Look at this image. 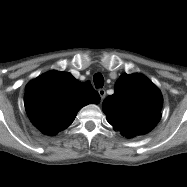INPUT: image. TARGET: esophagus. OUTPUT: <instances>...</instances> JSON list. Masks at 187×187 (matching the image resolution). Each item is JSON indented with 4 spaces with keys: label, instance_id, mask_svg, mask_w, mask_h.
Masks as SVG:
<instances>
[{
    "label": "esophagus",
    "instance_id": "obj_1",
    "mask_svg": "<svg viewBox=\"0 0 187 187\" xmlns=\"http://www.w3.org/2000/svg\"><path fill=\"white\" fill-rule=\"evenodd\" d=\"M98 93L100 95L101 100H103L106 96V91L101 88V89L98 90Z\"/></svg>",
    "mask_w": 187,
    "mask_h": 187
}]
</instances>
